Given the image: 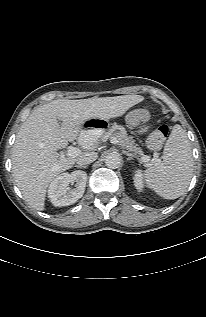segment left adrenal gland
Returning a JSON list of instances; mask_svg holds the SVG:
<instances>
[{
    "mask_svg": "<svg viewBox=\"0 0 206 317\" xmlns=\"http://www.w3.org/2000/svg\"><path fill=\"white\" fill-rule=\"evenodd\" d=\"M123 153H124V154H126V155L128 156L127 160H132V159H133V157H134V155H132V154H130V153H128V152H126V151H123Z\"/></svg>",
    "mask_w": 206,
    "mask_h": 317,
    "instance_id": "a2214340",
    "label": "left adrenal gland"
}]
</instances>
